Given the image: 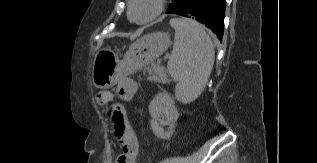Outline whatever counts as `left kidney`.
Here are the masks:
<instances>
[{"label": "left kidney", "instance_id": "obj_1", "mask_svg": "<svg viewBox=\"0 0 317 163\" xmlns=\"http://www.w3.org/2000/svg\"><path fill=\"white\" fill-rule=\"evenodd\" d=\"M149 113L151 129L155 136L161 139L170 138L179 117L175 102L170 95L167 92L158 93L149 104Z\"/></svg>", "mask_w": 317, "mask_h": 163}]
</instances>
